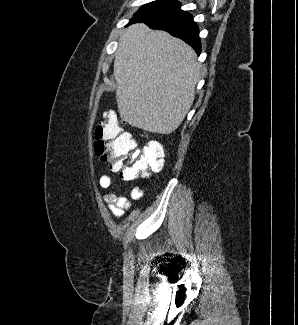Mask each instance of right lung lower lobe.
<instances>
[{"label":"right lung lower lobe","mask_w":298,"mask_h":325,"mask_svg":"<svg viewBox=\"0 0 298 325\" xmlns=\"http://www.w3.org/2000/svg\"><path fill=\"white\" fill-rule=\"evenodd\" d=\"M144 22L152 29H161L171 35L178 37L188 43L199 55L201 53V42L198 36V26L193 21V17L186 11H176L149 20H131L130 23Z\"/></svg>","instance_id":"right-lung-lower-lobe-1"}]
</instances>
